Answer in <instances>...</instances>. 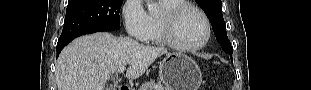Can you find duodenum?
Masks as SVG:
<instances>
[{
	"instance_id": "duodenum-1",
	"label": "duodenum",
	"mask_w": 311,
	"mask_h": 90,
	"mask_svg": "<svg viewBox=\"0 0 311 90\" xmlns=\"http://www.w3.org/2000/svg\"><path fill=\"white\" fill-rule=\"evenodd\" d=\"M117 90H131L129 86L127 85H120Z\"/></svg>"
}]
</instances>
